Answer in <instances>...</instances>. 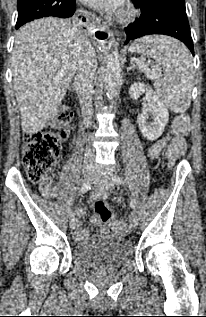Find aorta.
Masks as SVG:
<instances>
[{"label": "aorta", "mask_w": 206, "mask_h": 317, "mask_svg": "<svg viewBox=\"0 0 206 317\" xmlns=\"http://www.w3.org/2000/svg\"><path fill=\"white\" fill-rule=\"evenodd\" d=\"M121 77V65L118 50L115 49L107 58L105 67L104 84L107 96L112 100L117 94Z\"/></svg>", "instance_id": "obj_1"}]
</instances>
